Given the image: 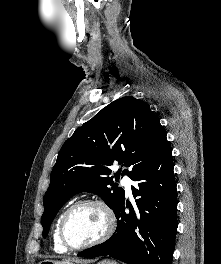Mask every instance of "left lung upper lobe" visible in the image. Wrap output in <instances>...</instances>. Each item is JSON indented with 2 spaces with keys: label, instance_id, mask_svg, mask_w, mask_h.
<instances>
[{
  "label": "left lung upper lobe",
  "instance_id": "left-lung-upper-lobe-1",
  "mask_svg": "<svg viewBox=\"0 0 221 264\" xmlns=\"http://www.w3.org/2000/svg\"><path fill=\"white\" fill-rule=\"evenodd\" d=\"M166 132L150 107L132 96L117 99L77 128L59 151L43 199V237L60 208L82 191L99 195L115 211L124 199L118 188L119 170L114 162L130 168V178L140 173L156 156Z\"/></svg>",
  "mask_w": 221,
  "mask_h": 264
}]
</instances>
